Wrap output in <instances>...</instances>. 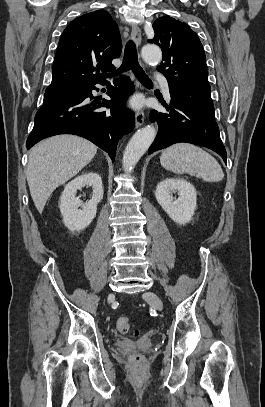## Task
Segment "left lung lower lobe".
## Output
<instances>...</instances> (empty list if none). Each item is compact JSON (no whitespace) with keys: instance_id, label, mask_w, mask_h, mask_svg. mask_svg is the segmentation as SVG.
I'll return each instance as SVG.
<instances>
[{"instance_id":"obj_1","label":"left lung lower lobe","mask_w":265,"mask_h":407,"mask_svg":"<svg viewBox=\"0 0 265 407\" xmlns=\"http://www.w3.org/2000/svg\"><path fill=\"white\" fill-rule=\"evenodd\" d=\"M164 106L169 113L153 110L149 115L150 121H156L159 126L149 154L175 143L187 142L210 148L218 153L226 163L227 153L214 117L173 98L170 106Z\"/></svg>"}]
</instances>
